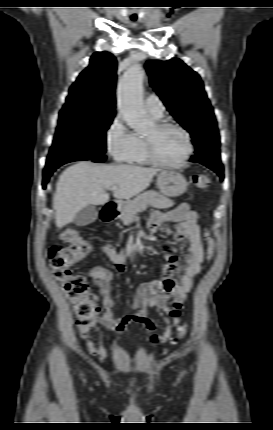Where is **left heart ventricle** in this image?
Masks as SVG:
<instances>
[{
  "label": "left heart ventricle",
  "instance_id": "obj_1",
  "mask_svg": "<svg viewBox=\"0 0 273 430\" xmlns=\"http://www.w3.org/2000/svg\"><path fill=\"white\" fill-rule=\"evenodd\" d=\"M154 143V148L159 159L165 162L180 160L186 151L184 135L173 128L157 131L154 126L146 134Z\"/></svg>",
  "mask_w": 273,
  "mask_h": 430
}]
</instances>
